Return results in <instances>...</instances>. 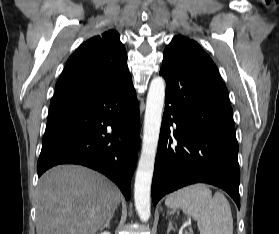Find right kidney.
Listing matches in <instances>:
<instances>
[{
  "label": "right kidney",
  "instance_id": "obj_1",
  "mask_svg": "<svg viewBox=\"0 0 279 234\" xmlns=\"http://www.w3.org/2000/svg\"><path fill=\"white\" fill-rule=\"evenodd\" d=\"M100 234H111V233L108 232V231H103V232H101Z\"/></svg>",
  "mask_w": 279,
  "mask_h": 234
}]
</instances>
